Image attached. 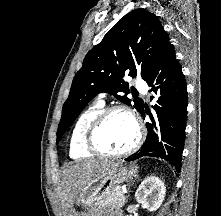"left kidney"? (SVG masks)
<instances>
[{
	"mask_svg": "<svg viewBox=\"0 0 221 216\" xmlns=\"http://www.w3.org/2000/svg\"><path fill=\"white\" fill-rule=\"evenodd\" d=\"M164 182L156 176H149L139 185L135 199L150 212L156 211L165 198Z\"/></svg>",
	"mask_w": 221,
	"mask_h": 216,
	"instance_id": "5707ae66",
	"label": "left kidney"
}]
</instances>
